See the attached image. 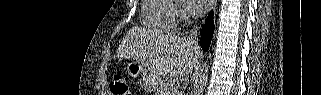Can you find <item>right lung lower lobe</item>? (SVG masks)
Segmentation results:
<instances>
[{
	"label": "right lung lower lobe",
	"mask_w": 321,
	"mask_h": 95,
	"mask_svg": "<svg viewBox=\"0 0 321 95\" xmlns=\"http://www.w3.org/2000/svg\"><path fill=\"white\" fill-rule=\"evenodd\" d=\"M213 32H214V25H213V12H212L209 14L206 20V24L203 26L201 30L200 45L204 51H207L209 49Z\"/></svg>",
	"instance_id": "1"
}]
</instances>
